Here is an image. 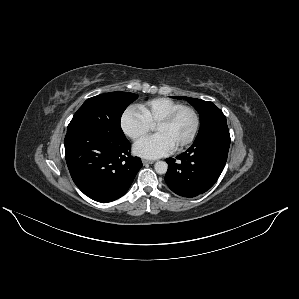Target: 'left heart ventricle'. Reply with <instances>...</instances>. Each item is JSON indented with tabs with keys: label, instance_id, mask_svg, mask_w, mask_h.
<instances>
[{
	"label": "left heart ventricle",
	"instance_id": "b2bd125f",
	"mask_svg": "<svg viewBox=\"0 0 299 299\" xmlns=\"http://www.w3.org/2000/svg\"><path fill=\"white\" fill-rule=\"evenodd\" d=\"M194 124L193 114L186 110L181 112L172 123L156 127V132L165 135L173 146L176 147L190 136Z\"/></svg>",
	"mask_w": 299,
	"mask_h": 299
}]
</instances>
